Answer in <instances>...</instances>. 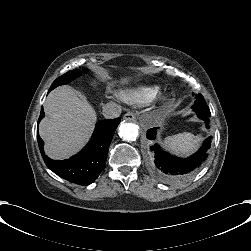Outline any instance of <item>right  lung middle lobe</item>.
<instances>
[{
  "label": "right lung middle lobe",
  "mask_w": 251,
  "mask_h": 251,
  "mask_svg": "<svg viewBox=\"0 0 251 251\" xmlns=\"http://www.w3.org/2000/svg\"><path fill=\"white\" fill-rule=\"evenodd\" d=\"M85 71H87V69H85ZM80 73V70L75 69V70H71L68 71L67 73L63 74L62 76H60L59 78H57L51 85L50 89L48 92H50L51 90H53L54 88L60 86V85H64L67 84L69 82H71L72 80H74Z\"/></svg>",
  "instance_id": "right-lung-middle-lobe-1"
}]
</instances>
